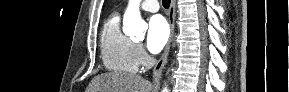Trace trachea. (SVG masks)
Instances as JSON below:
<instances>
[{"label":"trachea","mask_w":289,"mask_h":92,"mask_svg":"<svg viewBox=\"0 0 289 92\" xmlns=\"http://www.w3.org/2000/svg\"><path fill=\"white\" fill-rule=\"evenodd\" d=\"M170 3H171V0H163L162 1L163 7L166 9L169 8Z\"/></svg>","instance_id":"trachea-1"}]
</instances>
